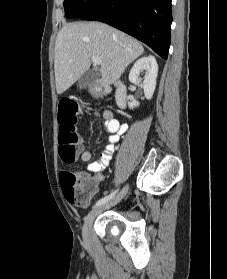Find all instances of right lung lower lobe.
<instances>
[{"label": "right lung lower lobe", "mask_w": 227, "mask_h": 279, "mask_svg": "<svg viewBox=\"0 0 227 279\" xmlns=\"http://www.w3.org/2000/svg\"><path fill=\"white\" fill-rule=\"evenodd\" d=\"M81 19L107 23L144 42L167 59L171 0H95Z\"/></svg>", "instance_id": "right-lung-lower-lobe-1"}]
</instances>
